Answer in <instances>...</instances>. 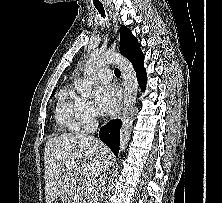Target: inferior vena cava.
Segmentation results:
<instances>
[{"label": "inferior vena cava", "instance_id": "1", "mask_svg": "<svg viewBox=\"0 0 222 203\" xmlns=\"http://www.w3.org/2000/svg\"><path fill=\"white\" fill-rule=\"evenodd\" d=\"M106 175L104 174L103 176H101L100 177V184H99V191H100V193H98V198H97V202L96 203H102L103 202V197H104V195H103V193H104V191H105V179H106Z\"/></svg>", "mask_w": 222, "mask_h": 203}]
</instances>
